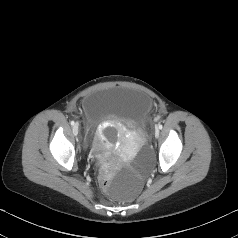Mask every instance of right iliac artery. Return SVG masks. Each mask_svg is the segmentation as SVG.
Wrapping results in <instances>:
<instances>
[{
	"label": "right iliac artery",
	"mask_w": 238,
	"mask_h": 238,
	"mask_svg": "<svg viewBox=\"0 0 238 238\" xmlns=\"http://www.w3.org/2000/svg\"><path fill=\"white\" fill-rule=\"evenodd\" d=\"M70 124H71V125H74L75 123H74V121H71Z\"/></svg>",
	"instance_id": "right-iliac-artery-1"
}]
</instances>
